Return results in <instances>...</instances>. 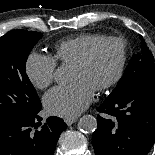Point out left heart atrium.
<instances>
[{
  "label": "left heart atrium",
  "mask_w": 155,
  "mask_h": 155,
  "mask_svg": "<svg viewBox=\"0 0 155 155\" xmlns=\"http://www.w3.org/2000/svg\"><path fill=\"white\" fill-rule=\"evenodd\" d=\"M94 90L83 81H74L66 86H57L44 96L46 111L55 116L74 118L91 102Z\"/></svg>",
  "instance_id": "39dd6f15"
}]
</instances>
